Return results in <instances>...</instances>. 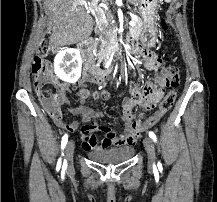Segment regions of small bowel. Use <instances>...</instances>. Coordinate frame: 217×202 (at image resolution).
I'll return each mask as SVG.
<instances>
[{
    "instance_id": "small-bowel-1",
    "label": "small bowel",
    "mask_w": 217,
    "mask_h": 202,
    "mask_svg": "<svg viewBox=\"0 0 217 202\" xmlns=\"http://www.w3.org/2000/svg\"><path fill=\"white\" fill-rule=\"evenodd\" d=\"M138 54L142 57L143 64L148 69H155L159 66L161 60L160 57L149 50H144L142 48H138ZM78 92L81 104L72 109V113L74 115H80L85 122L100 119L104 116V113L101 111H97L87 105H85V101L88 98L93 99H109L111 96V92L106 89H99L95 91H90L86 88L84 84H78L76 87ZM68 89L67 84H59V92L58 95H63V100H58L60 103H66V91ZM117 95H122L123 91L119 90L116 92ZM137 100L133 98H126L122 101L121 104V119L124 122V130L122 133L117 134L113 129L108 126L98 127V132H104L106 136L102 137L103 141L108 142H81V147H113V146H126L130 147L135 145L138 140L139 135L143 132L140 131V126H148L145 124L143 119V114L140 113L135 115L133 110L137 104ZM54 121H60L57 123L59 127H76L77 123L73 122L70 125H66L62 120L61 116H54ZM80 136H83V141H95L97 136V131H80Z\"/></svg>"
}]
</instances>
